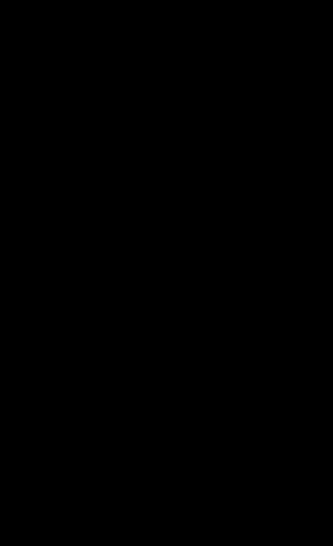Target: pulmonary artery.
Returning a JSON list of instances; mask_svg holds the SVG:
<instances>
[{
  "label": "pulmonary artery",
  "mask_w": 333,
  "mask_h": 546,
  "mask_svg": "<svg viewBox=\"0 0 333 546\" xmlns=\"http://www.w3.org/2000/svg\"><path fill=\"white\" fill-rule=\"evenodd\" d=\"M75 14H89V13H75Z\"/></svg>",
  "instance_id": "obj_1"
}]
</instances>
